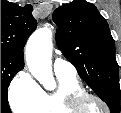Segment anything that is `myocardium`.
Wrapping results in <instances>:
<instances>
[{
    "label": "myocardium",
    "mask_w": 121,
    "mask_h": 113,
    "mask_svg": "<svg viewBox=\"0 0 121 113\" xmlns=\"http://www.w3.org/2000/svg\"><path fill=\"white\" fill-rule=\"evenodd\" d=\"M88 101L98 102L104 108V113H110V107L102 97L85 92L78 93L75 96L73 101L74 109H85L86 103Z\"/></svg>",
    "instance_id": "obj_1"
}]
</instances>
